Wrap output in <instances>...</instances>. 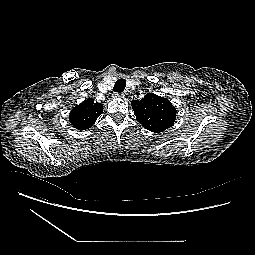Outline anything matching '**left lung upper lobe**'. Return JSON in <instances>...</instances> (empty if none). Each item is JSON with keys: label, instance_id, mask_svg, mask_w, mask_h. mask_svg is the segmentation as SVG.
<instances>
[{"label": "left lung upper lobe", "instance_id": "obj_1", "mask_svg": "<svg viewBox=\"0 0 255 255\" xmlns=\"http://www.w3.org/2000/svg\"><path fill=\"white\" fill-rule=\"evenodd\" d=\"M135 116L142 126L159 133L175 122L176 108L171 102L153 93H147L141 100L131 102Z\"/></svg>", "mask_w": 255, "mask_h": 255}]
</instances>
